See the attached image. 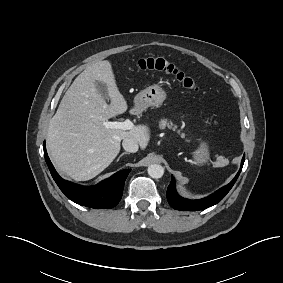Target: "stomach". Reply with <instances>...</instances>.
I'll use <instances>...</instances> for the list:
<instances>
[{"instance_id":"stomach-1","label":"stomach","mask_w":283,"mask_h":283,"mask_svg":"<svg viewBox=\"0 0 283 283\" xmlns=\"http://www.w3.org/2000/svg\"><path fill=\"white\" fill-rule=\"evenodd\" d=\"M166 99V91L160 84H153L140 91L134 98L135 108L138 111H144L148 107L159 106ZM208 147L206 143L195 151L194 157L198 163H202L208 157Z\"/></svg>"}]
</instances>
